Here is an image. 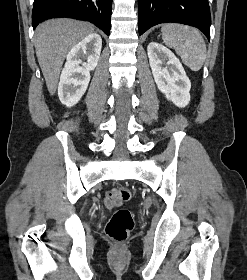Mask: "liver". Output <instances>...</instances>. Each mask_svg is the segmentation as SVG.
<instances>
[{"mask_svg":"<svg viewBox=\"0 0 247 280\" xmlns=\"http://www.w3.org/2000/svg\"><path fill=\"white\" fill-rule=\"evenodd\" d=\"M91 24L73 19H51L35 30V50L48 91L54 95L60 71L69 51L92 34Z\"/></svg>","mask_w":247,"mask_h":280,"instance_id":"liver-1","label":"liver"}]
</instances>
